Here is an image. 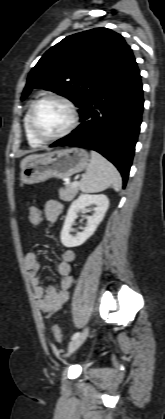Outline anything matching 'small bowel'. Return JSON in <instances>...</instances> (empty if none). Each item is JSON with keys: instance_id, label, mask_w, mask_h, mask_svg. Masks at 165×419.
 <instances>
[{"instance_id": "1", "label": "small bowel", "mask_w": 165, "mask_h": 419, "mask_svg": "<svg viewBox=\"0 0 165 419\" xmlns=\"http://www.w3.org/2000/svg\"><path fill=\"white\" fill-rule=\"evenodd\" d=\"M62 212V206L55 200L45 204L44 215L47 221L55 222ZM75 259L73 250L66 248L61 252V260L57 265V272L60 275L59 289L55 287H44L40 278L42 265L35 252H29L25 256V265L30 278L33 295L37 307L46 315L56 312L69 297V290L73 283L71 264Z\"/></svg>"}]
</instances>
